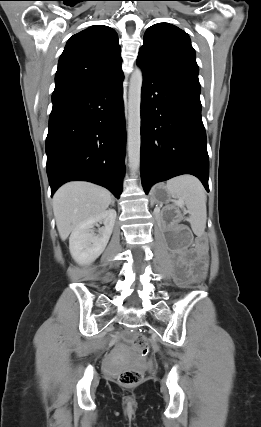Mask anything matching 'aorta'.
Masks as SVG:
<instances>
[{"mask_svg":"<svg viewBox=\"0 0 261 427\" xmlns=\"http://www.w3.org/2000/svg\"><path fill=\"white\" fill-rule=\"evenodd\" d=\"M142 82V71L136 68L131 75L128 92V158L133 173L137 172L140 166Z\"/></svg>","mask_w":261,"mask_h":427,"instance_id":"762f6f07","label":"aorta"}]
</instances>
